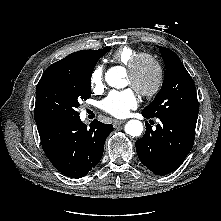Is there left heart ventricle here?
I'll use <instances>...</instances> for the list:
<instances>
[{
	"label": "left heart ventricle",
	"instance_id": "1",
	"mask_svg": "<svg viewBox=\"0 0 221 221\" xmlns=\"http://www.w3.org/2000/svg\"><path fill=\"white\" fill-rule=\"evenodd\" d=\"M156 79L155 68L149 62H143L134 77L127 75V84L134 85L138 89H149Z\"/></svg>",
	"mask_w": 221,
	"mask_h": 221
}]
</instances>
